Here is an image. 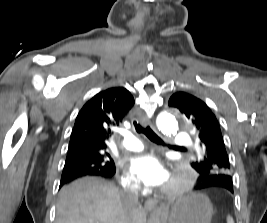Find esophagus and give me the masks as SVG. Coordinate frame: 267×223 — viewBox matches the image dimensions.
Segmentation results:
<instances>
[{
  "instance_id": "1",
  "label": "esophagus",
  "mask_w": 267,
  "mask_h": 223,
  "mask_svg": "<svg viewBox=\"0 0 267 223\" xmlns=\"http://www.w3.org/2000/svg\"><path fill=\"white\" fill-rule=\"evenodd\" d=\"M140 122L142 123V125H144L145 127H150L151 129H154L152 123L150 122V120L145 117L143 114L140 115L139 117ZM157 204V201L155 199H149L144 203V206L146 209L150 210L152 209L155 205Z\"/></svg>"
}]
</instances>
